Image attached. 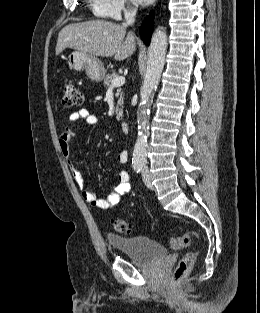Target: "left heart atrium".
Segmentation results:
<instances>
[{
  "instance_id": "obj_1",
  "label": "left heart atrium",
  "mask_w": 260,
  "mask_h": 313,
  "mask_svg": "<svg viewBox=\"0 0 260 313\" xmlns=\"http://www.w3.org/2000/svg\"><path fill=\"white\" fill-rule=\"evenodd\" d=\"M133 1L141 6H146L149 3H151L153 0H133Z\"/></svg>"
}]
</instances>
